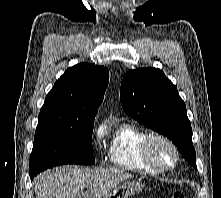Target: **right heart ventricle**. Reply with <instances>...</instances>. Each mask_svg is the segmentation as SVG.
<instances>
[{
  "label": "right heart ventricle",
  "mask_w": 221,
  "mask_h": 198,
  "mask_svg": "<svg viewBox=\"0 0 221 198\" xmlns=\"http://www.w3.org/2000/svg\"><path fill=\"white\" fill-rule=\"evenodd\" d=\"M149 133L130 123L120 125L115 131L108 150L110 162L117 168L133 172L155 174L142 157V143Z\"/></svg>",
  "instance_id": "obj_1"
}]
</instances>
